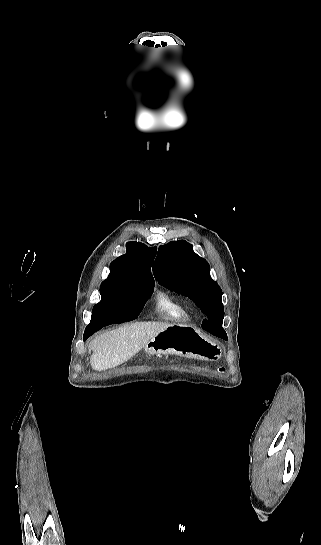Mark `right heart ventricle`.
Wrapping results in <instances>:
<instances>
[{
	"mask_svg": "<svg viewBox=\"0 0 321 545\" xmlns=\"http://www.w3.org/2000/svg\"><path fill=\"white\" fill-rule=\"evenodd\" d=\"M154 303L156 312L165 320L176 324L190 321V310L185 301L159 291L155 295Z\"/></svg>",
	"mask_w": 321,
	"mask_h": 545,
	"instance_id": "obj_1",
	"label": "right heart ventricle"
}]
</instances>
